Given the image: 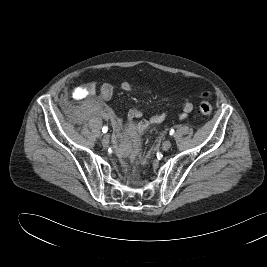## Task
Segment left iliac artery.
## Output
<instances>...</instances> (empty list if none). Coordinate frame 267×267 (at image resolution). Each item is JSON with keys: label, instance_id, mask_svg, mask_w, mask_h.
<instances>
[{"label": "left iliac artery", "instance_id": "1", "mask_svg": "<svg viewBox=\"0 0 267 267\" xmlns=\"http://www.w3.org/2000/svg\"><path fill=\"white\" fill-rule=\"evenodd\" d=\"M170 135H173L174 134V129H171L170 132H169Z\"/></svg>", "mask_w": 267, "mask_h": 267}]
</instances>
